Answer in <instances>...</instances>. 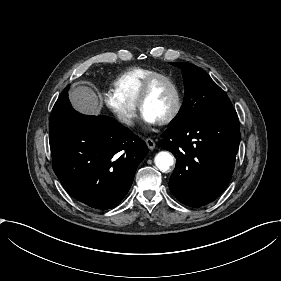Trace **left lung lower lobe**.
<instances>
[{
  "label": "left lung lower lobe",
  "mask_w": 281,
  "mask_h": 281,
  "mask_svg": "<svg viewBox=\"0 0 281 281\" xmlns=\"http://www.w3.org/2000/svg\"><path fill=\"white\" fill-rule=\"evenodd\" d=\"M239 141L235 110L168 127L160 145L176 158L169 181L172 194L195 208L214 201L232 177Z\"/></svg>",
  "instance_id": "left-lung-lower-lobe-1"
}]
</instances>
